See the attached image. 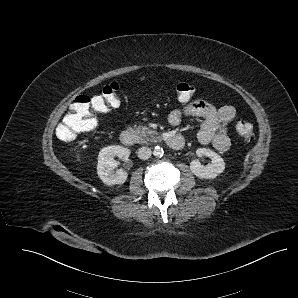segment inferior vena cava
I'll use <instances>...</instances> for the list:
<instances>
[{"instance_id":"602c4592","label":"inferior vena cava","mask_w":298,"mask_h":298,"mask_svg":"<svg viewBox=\"0 0 298 298\" xmlns=\"http://www.w3.org/2000/svg\"><path fill=\"white\" fill-rule=\"evenodd\" d=\"M152 151L148 147H142L138 150V158L142 160H147L151 157Z\"/></svg>"}]
</instances>
